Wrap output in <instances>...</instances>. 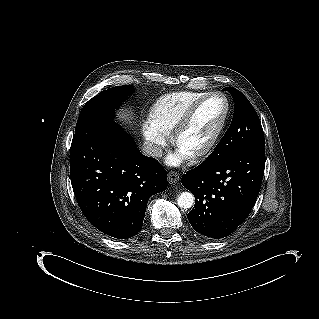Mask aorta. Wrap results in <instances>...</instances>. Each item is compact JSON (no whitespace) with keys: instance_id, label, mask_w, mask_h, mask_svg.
Wrapping results in <instances>:
<instances>
[{"instance_id":"1","label":"aorta","mask_w":319,"mask_h":319,"mask_svg":"<svg viewBox=\"0 0 319 319\" xmlns=\"http://www.w3.org/2000/svg\"><path fill=\"white\" fill-rule=\"evenodd\" d=\"M194 196L190 192H182L177 198V204L180 208L189 209L193 206Z\"/></svg>"}]
</instances>
